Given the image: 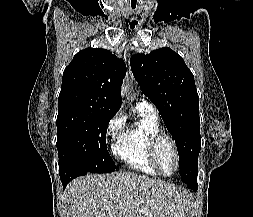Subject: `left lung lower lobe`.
Listing matches in <instances>:
<instances>
[{"instance_id": "1", "label": "left lung lower lobe", "mask_w": 253, "mask_h": 217, "mask_svg": "<svg viewBox=\"0 0 253 217\" xmlns=\"http://www.w3.org/2000/svg\"><path fill=\"white\" fill-rule=\"evenodd\" d=\"M190 188L193 189V190H197L198 185L197 184L191 185Z\"/></svg>"}]
</instances>
